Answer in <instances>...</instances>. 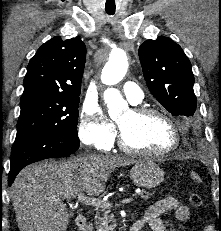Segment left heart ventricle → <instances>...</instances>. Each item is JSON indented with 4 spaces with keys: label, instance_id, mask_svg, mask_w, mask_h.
I'll return each instance as SVG.
<instances>
[{
    "label": "left heart ventricle",
    "instance_id": "1",
    "mask_svg": "<svg viewBox=\"0 0 221 231\" xmlns=\"http://www.w3.org/2000/svg\"><path fill=\"white\" fill-rule=\"evenodd\" d=\"M117 122L127 141L137 148L160 152L170 148L174 143L171 125L159 116L136 118L129 110Z\"/></svg>",
    "mask_w": 221,
    "mask_h": 231
}]
</instances>
